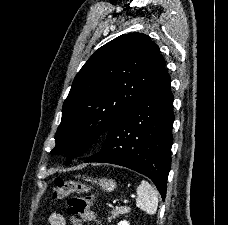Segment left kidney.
I'll use <instances>...</instances> for the list:
<instances>
[{
    "label": "left kidney",
    "instance_id": "left-kidney-1",
    "mask_svg": "<svg viewBox=\"0 0 228 225\" xmlns=\"http://www.w3.org/2000/svg\"><path fill=\"white\" fill-rule=\"evenodd\" d=\"M118 225H130V223H128V221H120Z\"/></svg>",
    "mask_w": 228,
    "mask_h": 225
}]
</instances>
